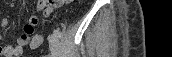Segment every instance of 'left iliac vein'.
Instances as JSON below:
<instances>
[{
    "label": "left iliac vein",
    "instance_id": "left-iliac-vein-1",
    "mask_svg": "<svg viewBox=\"0 0 172 57\" xmlns=\"http://www.w3.org/2000/svg\"><path fill=\"white\" fill-rule=\"evenodd\" d=\"M58 45H59L58 36L56 33H52L49 36V46H50V50H51L53 56L57 55Z\"/></svg>",
    "mask_w": 172,
    "mask_h": 57
}]
</instances>
